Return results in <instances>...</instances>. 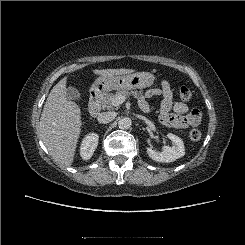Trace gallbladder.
<instances>
[{
	"instance_id": "bac80fb5",
	"label": "gallbladder",
	"mask_w": 245,
	"mask_h": 245,
	"mask_svg": "<svg viewBox=\"0 0 245 245\" xmlns=\"http://www.w3.org/2000/svg\"><path fill=\"white\" fill-rule=\"evenodd\" d=\"M66 97L68 100L79 101L81 99V93L75 87H68L66 89Z\"/></svg>"
}]
</instances>
